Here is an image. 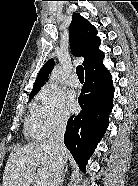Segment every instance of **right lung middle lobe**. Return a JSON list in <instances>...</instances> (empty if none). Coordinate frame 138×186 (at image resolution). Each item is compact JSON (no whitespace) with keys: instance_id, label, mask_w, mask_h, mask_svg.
<instances>
[{"instance_id":"right-lung-middle-lobe-1","label":"right lung middle lobe","mask_w":138,"mask_h":186,"mask_svg":"<svg viewBox=\"0 0 138 186\" xmlns=\"http://www.w3.org/2000/svg\"><path fill=\"white\" fill-rule=\"evenodd\" d=\"M33 96H34V95H30V96H29V99L33 98Z\"/></svg>"}]
</instances>
